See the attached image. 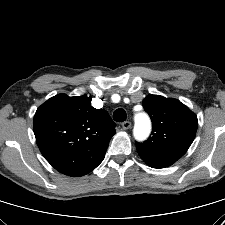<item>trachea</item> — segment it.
<instances>
[{"label":"trachea","mask_w":225,"mask_h":225,"mask_svg":"<svg viewBox=\"0 0 225 225\" xmlns=\"http://www.w3.org/2000/svg\"><path fill=\"white\" fill-rule=\"evenodd\" d=\"M126 118H127L126 112L122 108H119V109L115 110L114 113H113V119L116 122H123V121L126 120Z\"/></svg>","instance_id":"obj_1"}]
</instances>
